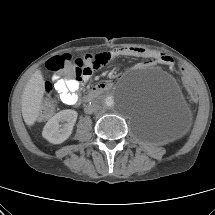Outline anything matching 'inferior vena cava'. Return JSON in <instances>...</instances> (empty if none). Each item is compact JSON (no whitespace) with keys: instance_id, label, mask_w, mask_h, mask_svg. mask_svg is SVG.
Returning <instances> with one entry per match:
<instances>
[{"instance_id":"1","label":"inferior vena cava","mask_w":215,"mask_h":215,"mask_svg":"<svg viewBox=\"0 0 215 215\" xmlns=\"http://www.w3.org/2000/svg\"><path fill=\"white\" fill-rule=\"evenodd\" d=\"M84 110L86 113L91 114L97 110V105L96 103L88 104L85 106Z\"/></svg>"}]
</instances>
